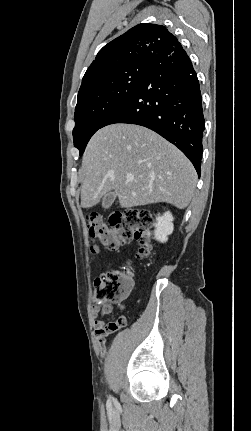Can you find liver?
<instances>
[{
  "instance_id": "6515ba94",
  "label": "liver",
  "mask_w": 251,
  "mask_h": 431,
  "mask_svg": "<svg viewBox=\"0 0 251 431\" xmlns=\"http://www.w3.org/2000/svg\"><path fill=\"white\" fill-rule=\"evenodd\" d=\"M81 206L112 193L121 208L166 202L188 206L197 183L192 163L174 145L145 127L116 123L99 129L82 160ZM133 176V181L127 177Z\"/></svg>"
}]
</instances>
